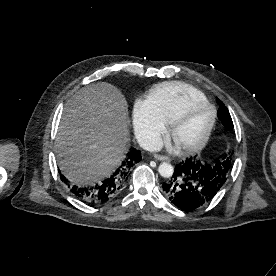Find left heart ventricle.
Instances as JSON below:
<instances>
[{
    "instance_id": "1",
    "label": "left heart ventricle",
    "mask_w": 276,
    "mask_h": 276,
    "mask_svg": "<svg viewBox=\"0 0 276 276\" xmlns=\"http://www.w3.org/2000/svg\"><path fill=\"white\" fill-rule=\"evenodd\" d=\"M212 112L205 104L193 106L188 115L177 126L174 138L180 145L199 139L211 120Z\"/></svg>"
}]
</instances>
